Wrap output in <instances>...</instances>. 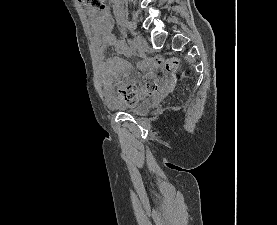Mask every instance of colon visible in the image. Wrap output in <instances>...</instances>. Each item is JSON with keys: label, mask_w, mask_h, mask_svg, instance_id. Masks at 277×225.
Wrapping results in <instances>:
<instances>
[{"label": "colon", "mask_w": 277, "mask_h": 225, "mask_svg": "<svg viewBox=\"0 0 277 225\" xmlns=\"http://www.w3.org/2000/svg\"><path fill=\"white\" fill-rule=\"evenodd\" d=\"M79 2L96 12H102L105 9L104 0H79ZM153 63L158 69L167 72L175 71L179 65L176 58L163 59L157 57L153 60ZM162 80L161 75H148L139 84H132L121 88L119 90V98L127 104H133L145 96L158 92Z\"/></svg>", "instance_id": "colon-1"}]
</instances>
